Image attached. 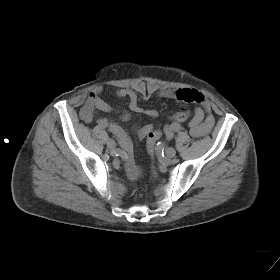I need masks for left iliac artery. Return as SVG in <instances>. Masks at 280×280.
<instances>
[{"mask_svg": "<svg viewBox=\"0 0 280 280\" xmlns=\"http://www.w3.org/2000/svg\"><path fill=\"white\" fill-rule=\"evenodd\" d=\"M181 130V125L177 122H174L170 126V133L173 135L175 132H179Z\"/></svg>", "mask_w": 280, "mask_h": 280, "instance_id": "left-iliac-artery-1", "label": "left iliac artery"}]
</instances>
